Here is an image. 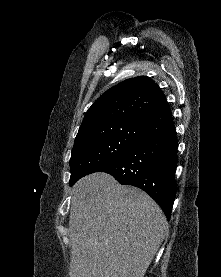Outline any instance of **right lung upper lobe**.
<instances>
[{
    "instance_id": "right-lung-upper-lobe-1",
    "label": "right lung upper lobe",
    "mask_w": 221,
    "mask_h": 277,
    "mask_svg": "<svg viewBox=\"0 0 221 277\" xmlns=\"http://www.w3.org/2000/svg\"><path fill=\"white\" fill-rule=\"evenodd\" d=\"M165 104V95L149 77L127 79L95 101L84 116L79 132L100 125L139 122L144 115Z\"/></svg>"
}]
</instances>
